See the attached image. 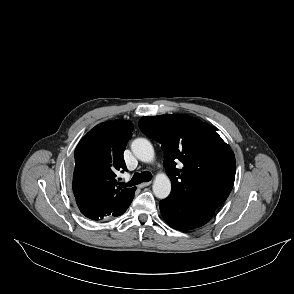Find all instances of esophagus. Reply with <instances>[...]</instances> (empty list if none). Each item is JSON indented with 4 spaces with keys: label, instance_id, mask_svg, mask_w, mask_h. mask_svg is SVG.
Listing matches in <instances>:
<instances>
[{
    "label": "esophagus",
    "instance_id": "esophagus-1",
    "mask_svg": "<svg viewBox=\"0 0 294 294\" xmlns=\"http://www.w3.org/2000/svg\"><path fill=\"white\" fill-rule=\"evenodd\" d=\"M151 183H152L151 181H149V182H144V183L140 184L138 187H139V188H144V187H146V186H149Z\"/></svg>",
    "mask_w": 294,
    "mask_h": 294
}]
</instances>
